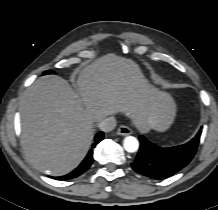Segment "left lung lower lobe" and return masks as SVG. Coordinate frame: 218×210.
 Returning <instances> with one entry per match:
<instances>
[{
    "instance_id": "obj_1",
    "label": "left lung lower lobe",
    "mask_w": 218,
    "mask_h": 210,
    "mask_svg": "<svg viewBox=\"0 0 218 210\" xmlns=\"http://www.w3.org/2000/svg\"><path fill=\"white\" fill-rule=\"evenodd\" d=\"M202 130L188 143L175 147L162 148L144 136H139L140 149L132 169L152 179H164L185 167L193 158Z\"/></svg>"
}]
</instances>
